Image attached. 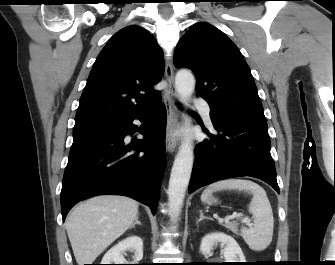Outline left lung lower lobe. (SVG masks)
Wrapping results in <instances>:
<instances>
[{"label":"left lung lower lobe","mask_w":335,"mask_h":265,"mask_svg":"<svg viewBox=\"0 0 335 265\" xmlns=\"http://www.w3.org/2000/svg\"><path fill=\"white\" fill-rule=\"evenodd\" d=\"M210 117L216 133L206 132L209 139L195 147L196 161L188 192L219 180L251 176L279 193L269 134L214 110Z\"/></svg>","instance_id":"0a47b994"}]
</instances>
